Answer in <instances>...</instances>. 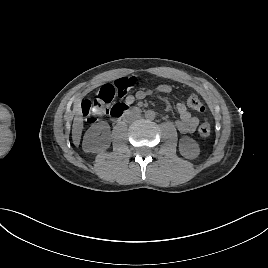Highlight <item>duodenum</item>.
Instances as JSON below:
<instances>
[{
	"label": "duodenum",
	"mask_w": 268,
	"mask_h": 268,
	"mask_svg": "<svg viewBox=\"0 0 268 268\" xmlns=\"http://www.w3.org/2000/svg\"><path fill=\"white\" fill-rule=\"evenodd\" d=\"M140 111L141 108L139 107H132L128 104L119 103L110 108L109 115L112 119L119 120L130 113H138Z\"/></svg>",
	"instance_id": "1"
}]
</instances>
